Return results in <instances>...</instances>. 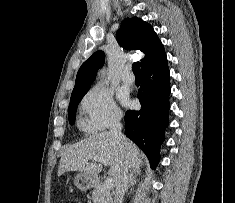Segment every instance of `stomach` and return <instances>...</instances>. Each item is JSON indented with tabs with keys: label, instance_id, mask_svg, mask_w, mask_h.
<instances>
[{
	"label": "stomach",
	"instance_id": "1",
	"mask_svg": "<svg viewBox=\"0 0 235 203\" xmlns=\"http://www.w3.org/2000/svg\"><path fill=\"white\" fill-rule=\"evenodd\" d=\"M96 183L97 179L94 176L85 173H79L74 178L75 186L81 191L92 188Z\"/></svg>",
	"mask_w": 235,
	"mask_h": 203
}]
</instances>
